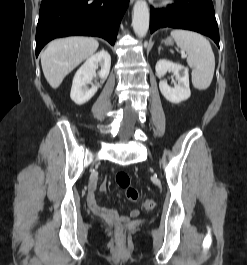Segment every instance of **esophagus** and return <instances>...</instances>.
I'll use <instances>...</instances> for the list:
<instances>
[{"instance_id": "esophagus-1", "label": "esophagus", "mask_w": 247, "mask_h": 265, "mask_svg": "<svg viewBox=\"0 0 247 265\" xmlns=\"http://www.w3.org/2000/svg\"><path fill=\"white\" fill-rule=\"evenodd\" d=\"M135 0H131V2L133 3Z\"/></svg>"}]
</instances>
